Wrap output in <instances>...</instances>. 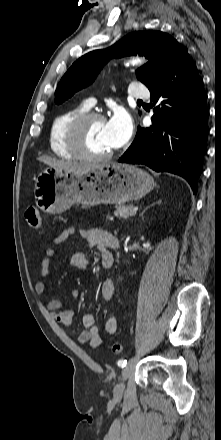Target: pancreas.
<instances>
[{"label":"pancreas","mask_w":221,"mask_h":440,"mask_svg":"<svg viewBox=\"0 0 221 440\" xmlns=\"http://www.w3.org/2000/svg\"><path fill=\"white\" fill-rule=\"evenodd\" d=\"M115 208H116V210L114 212L115 216L121 217V218L122 217L128 218L130 216L129 213L134 208V205H132V204H130V205H118Z\"/></svg>","instance_id":"obj_1"}]
</instances>
